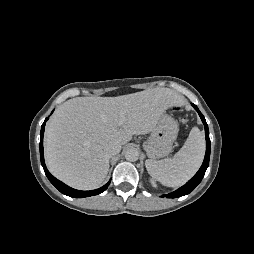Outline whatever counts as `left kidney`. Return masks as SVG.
I'll list each match as a JSON object with an SVG mask.
<instances>
[{
    "label": "left kidney",
    "mask_w": 254,
    "mask_h": 254,
    "mask_svg": "<svg viewBox=\"0 0 254 254\" xmlns=\"http://www.w3.org/2000/svg\"><path fill=\"white\" fill-rule=\"evenodd\" d=\"M150 183L154 188H157V184L154 179H150Z\"/></svg>",
    "instance_id": "obj_1"
}]
</instances>
